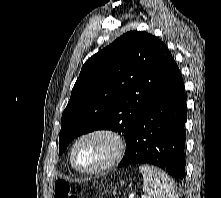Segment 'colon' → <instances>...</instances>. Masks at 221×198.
<instances>
[{"mask_svg":"<svg viewBox=\"0 0 221 198\" xmlns=\"http://www.w3.org/2000/svg\"><path fill=\"white\" fill-rule=\"evenodd\" d=\"M54 198H77L70 185L63 180L55 183Z\"/></svg>","mask_w":221,"mask_h":198,"instance_id":"1","label":"colon"}]
</instances>
